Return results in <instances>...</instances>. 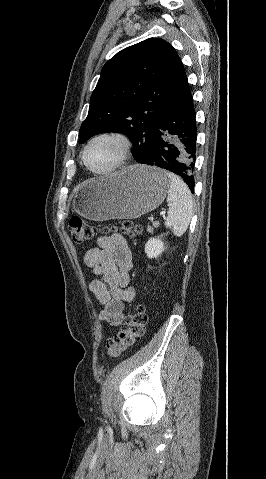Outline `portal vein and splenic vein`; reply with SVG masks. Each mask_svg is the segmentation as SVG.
I'll list each match as a JSON object with an SVG mask.
<instances>
[{
	"instance_id": "obj_1",
	"label": "portal vein and splenic vein",
	"mask_w": 266,
	"mask_h": 479,
	"mask_svg": "<svg viewBox=\"0 0 266 479\" xmlns=\"http://www.w3.org/2000/svg\"><path fill=\"white\" fill-rule=\"evenodd\" d=\"M165 213H166L165 211H162V212L160 213V215H161V216H165Z\"/></svg>"
}]
</instances>
